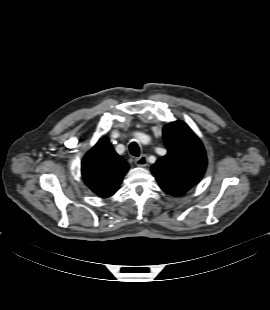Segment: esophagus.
<instances>
[{"label":"esophagus","instance_id":"esophagus-1","mask_svg":"<svg viewBox=\"0 0 270 310\" xmlns=\"http://www.w3.org/2000/svg\"><path fill=\"white\" fill-rule=\"evenodd\" d=\"M135 163L138 165V166H141V167H144L148 164V160H147V157L145 155H142L140 156L139 158H136L135 159Z\"/></svg>","mask_w":270,"mask_h":310}]
</instances>
